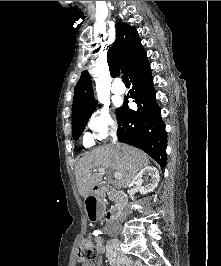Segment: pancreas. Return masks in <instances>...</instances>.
Masks as SVG:
<instances>
[{
	"mask_svg": "<svg viewBox=\"0 0 221 266\" xmlns=\"http://www.w3.org/2000/svg\"><path fill=\"white\" fill-rule=\"evenodd\" d=\"M112 200L114 201V203H115V208H120L121 207V202L120 201H117L116 199H114V198H112Z\"/></svg>",
	"mask_w": 221,
	"mask_h": 266,
	"instance_id": "cf45deb5",
	"label": "pancreas"
}]
</instances>
